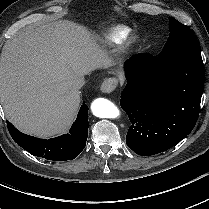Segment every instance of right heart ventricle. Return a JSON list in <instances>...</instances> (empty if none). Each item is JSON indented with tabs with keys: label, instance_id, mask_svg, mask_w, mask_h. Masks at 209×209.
<instances>
[{
	"label": "right heart ventricle",
	"instance_id": "1",
	"mask_svg": "<svg viewBox=\"0 0 209 209\" xmlns=\"http://www.w3.org/2000/svg\"><path fill=\"white\" fill-rule=\"evenodd\" d=\"M130 32V27L126 25H117L107 32L106 39L115 42L125 38Z\"/></svg>",
	"mask_w": 209,
	"mask_h": 209
}]
</instances>
